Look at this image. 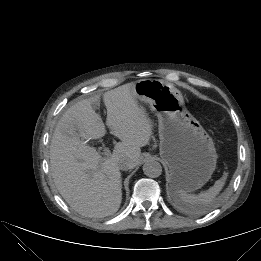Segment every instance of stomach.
I'll use <instances>...</instances> for the list:
<instances>
[{
	"label": "stomach",
	"mask_w": 261,
	"mask_h": 261,
	"mask_svg": "<svg viewBox=\"0 0 261 261\" xmlns=\"http://www.w3.org/2000/svg\"><path fill=\"white\" fill-rule=\"evenodd\" d=\"M137 100L146 103L158 118L160 156L169 168L174 194L190 193L205 185L216 168L212 138L185 108L180 91L159 79L134 83Z\"/></svg>",
	"instance_id": "0dacf381"
}]
</instances>
